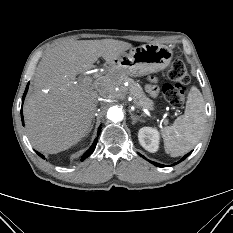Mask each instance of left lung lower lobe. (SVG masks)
I'll list each match as a JSON object with an SVG mask.
<instances>
[{
  "mask_svg": "<svg viewBox=\"0 0 233 233\" xmlns=\"http://www.w3.org/2000/svg\"><path fill=\"white\" fill-rule=\"evenodd\" d=\"M191 153V152H190ZM190 153L186 154L179 162L183 161L186 157H188L190 155ZM139 154V153H138ZM140 156H142L141 154H139ZM143 158H145L144 156H142ZM149 161V160H148ZM150 163L154 164L155 166H158V167H164L165 165H162V164H159V163H156V162H153V161H149ZM177 164V163H175ZM174 164V165H175Z\"/></svg>",
  "mask_w": 233,
  "mask_h": 233,
  "instance_id": "obj_1",
  "label": "left lung lower lobe"
}]
</instances>
